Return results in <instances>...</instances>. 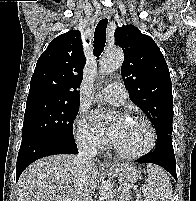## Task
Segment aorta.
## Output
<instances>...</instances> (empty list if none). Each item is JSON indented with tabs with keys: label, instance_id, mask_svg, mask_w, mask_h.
<instances>
[{
	"label": "aorta",
	"instance_id": "obj_1",
	"mask_svg": "<svg viewBox=\"0 0 196 201\" xmlns=\"http://www.w3.org/2000/svg\"><path fill=\"white\" fill-rule=\"evenodd\" d=\"M123 60L124 54L120 48L107 49L100 60L101 73H112L121 67ZM99 201H115L113 187L109 182H104L102 185Z\"/></svg>",
	"mask_w": 196,
	"mask_h": 201
}]
</instances>
